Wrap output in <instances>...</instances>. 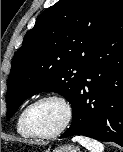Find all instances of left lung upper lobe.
<instances>
[{
  "instance_id": "5c2ea615",
  "label": "left lung upper lobe",
  "mask_w": 123,
  "mask_h": 152,
  "mask_svg": "<svg viewBox=\"0 0 123 152\" xmlns=\"http://www.w3.org/2000/svg\"><path fill=\"white\" fill-rule=\"evenodd\" d=\"M121 0H59L42 12L12 60L7 117L27 98L57 92L71 104L84 64L101 39Z\"/></svg>"
}]
</instances>
